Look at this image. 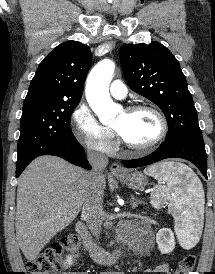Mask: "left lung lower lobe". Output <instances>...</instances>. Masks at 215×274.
Listing matches in <instances>:
<instances>
[{
	"instance_id": "0a47b994",
	"label": "left lung lower lobe",
	"mask_w": 215,
	"mask_h": 274,
	"mask_svg": "<svg viewBox=\"0 0 215 274\" xmlns=\"http://www.w3.org/2000/svg\"><path fill=\"white\" fill-rule=\"evenodd\" d=\"M166 158H182L192 162L207 178V154L204 143L190 140H166L148 156L122 161L128 168L150 165Z\"/></svg>"
}]
</instances>
